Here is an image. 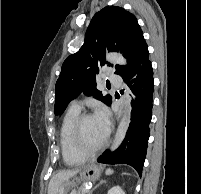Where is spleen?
Returning <instances> with one entry per match:
<instances>
[{
	"label": "spleen",
	"instance_id": "3e777b00",
	"mask_svg": "<svg viewBox=\"0 0 201 194\" xmlns=\"http://www.w3.org/2000/svg\"><path fill=\"white\" fill-rule=\"evenodd\" d=\"M111 174H113V170L112 169H107L106 170V175H111Z\"/></svg>",
	"mask_w": 201,
	"mask_h": 194
}]
</instances>
